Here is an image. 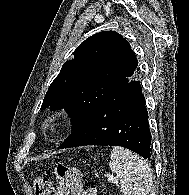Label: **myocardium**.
Returning a JSON list of instances; mask_svg holds the SVG:
<instances>
[{"mask_svg": "<svg viewBox=\"0 0 189 195\" xmlns=\"http://www.w3.org/2000/svg\"><path fill=\"white\" fill-rule=\"evenodd\" d=\"M67 125V120L65 117H59L53 122V129L57 132L64 130Z\"/></svg>", "mask_w": 189, "mask_h": 195, "instance_id": "obj_1", "label": "myocardium"}]
</instances>
